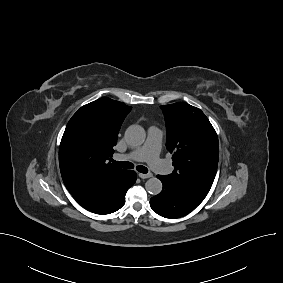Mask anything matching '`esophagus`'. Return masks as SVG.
Wrapping results in <instances>:
<instances>
[{"mask_svg": "<svg viewBox=\"0 0 283 283\" xmlns=\"http://www.w3.org/2000/svg\"><path fill=\"white\" fill-rule=\"evenodd\" d=\"M138 176L142 179H147V178L152 177V174L151 173H147V174L139 173Z\"/></svg>", "mask_w": 283, "mask_h": 283, "instance_id": "34e87169", "label": "esophagus"}]
</instances>
